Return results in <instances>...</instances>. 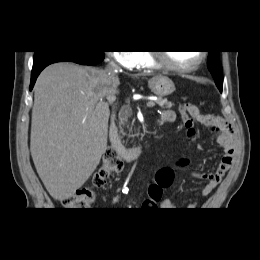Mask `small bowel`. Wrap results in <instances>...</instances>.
<instances>
[{"label": "small bowel", "instance_id": "small-bowel-1", "mask_svg": "<svg viewBox=\"0 0 260 260\" xmlns=\"http://www.w3.org/2000/svg\"><path fill=\"white\" fill-rule=\"evenodd\" d=\"M175 113L171 110H165L161 113V123H172L175 121ZM199 123L210 127L217 135V142L223 148L224 154L216 170L212 173H193L192 175L197 178L207 179L208 182L201 191L203 196L209 195L221 182L227 171L231 168L234 154H235V130L231 123L225 121L223 118L210 114H199L194 118ZM124 191V188L121 189ZM158 203V202H157ZM157 203L151 201H144V208H155ZM159 206L164 210H173V202L166 198L159 202ZM197 206V202H193L189 205V209H193Z\"/></svg>", "mask_w": 260, "mask_h": 260}]
</instances>
